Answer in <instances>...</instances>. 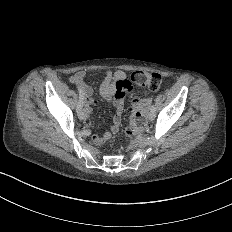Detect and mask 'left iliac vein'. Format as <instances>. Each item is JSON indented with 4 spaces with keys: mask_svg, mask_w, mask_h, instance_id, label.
<instances>
[{
    "mask_svg": "<svg viewBox=\"0 0 232 232\" xmlns=\"http://www.w3.org/2000/svg\"><path fill=\"white\" fill-rule=\"evenodd\" d=\"M147 118H148L149 120H153V119L155 118V113H154L153 111H150V112L148 113V115H147Z\"/></svg>",
    "mask_w": 232,
    "mask_h": 232,
    "instance_id": "left-iliac-vein-1",
    "label": "left iliac vein"
}]
</instances>
